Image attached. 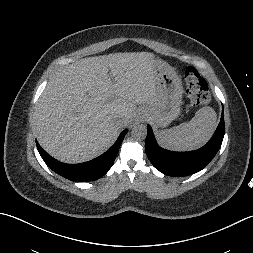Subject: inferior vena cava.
<instances>
[{
  "label": "inferior vena cava",
  "instance_id": "1",
  "mask_svg": "<svg viewBox=\"0 0 253 253\" xmlns=\"http://www.w3.org/2000/svg\"><path fill=\"white\" fill-rule=\"evenodd\" d=\"M114 126H115V128L116 129H121V128H124L125 127V125H126V119L125 118H123L122 116H115L114 117Z\"/></svg>",
  "mask_w": 253,
  "mask_h": 253
}]
</instances>
